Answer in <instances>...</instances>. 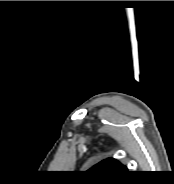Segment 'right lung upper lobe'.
Returning a JSON list of instances; mask_svg holds the SVG:
<instances>
[{
    "label": "right lung upper lobe",
    "mask_w": 174,
    "mask_h": 184,
    "mask_svg": "<svg viewBox=\"0 0 174 184\" xmlns=\"http://www.w3.org/2000/svg\"><path fill=\"white\" fill-rule=\"evenodd\" d=\"M100 176H115L127 172V168L113 158L105 159L88 170Z\"/></svg>",
    "instance_id": "1"
}]
</instances>
